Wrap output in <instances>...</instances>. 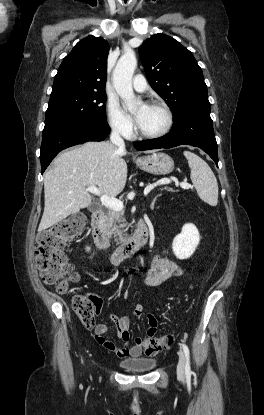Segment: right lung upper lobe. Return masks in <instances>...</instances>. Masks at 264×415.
<instances>
[{"label": "right lung upper lobe", "instance_id": "right-lung-upper-lobe-1", "mask_svg": "<svg viewBox=\"0 0 264 415\" xmlns=\"http://www.w3.org/2000/svg\"><path fill=\"white\" fill-rule=\"evenodd\" d=\"M109 44L100 37L79 41L64 58L55 76L52 95L70 92H105Z\"/></svg>", "mask_w": 264, "mask_h": 415}]
</instances>
